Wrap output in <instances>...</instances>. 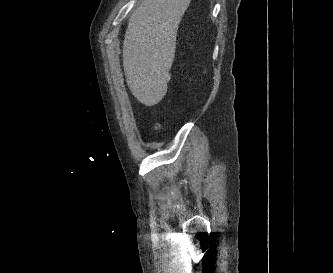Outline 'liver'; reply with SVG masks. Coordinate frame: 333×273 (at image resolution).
I'll list each match as a JSON object with an SVG mask.
<instances>
[{
  "instance_id": "6515ba94",
  "label": "liver",
  "mask_w": 333,
  "mask_h": 273,
  "mask_svg": "<svg viewBox=\"0 0 333 273\" xmlns=\"http://www.w3.org/2000/svg\"><path fill=\"white\" fill-rule=\"evenodd\" d=\"M191 0H143L132 13L123 43L128 87L146 106L167 92L179 23Z\"/></svg>"
}]
</instances>
